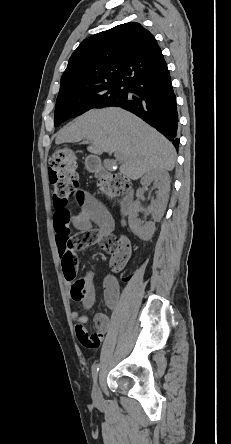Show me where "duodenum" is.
<instances>
[{"label":"duodenum","instance_id":"obj_1","mask_svg":"<svg viewBox=\"0 0 231 444\" xmlns=\"http://www.w3.org/2000/svg\"><path fill=\"white\" fill-rule=\"evenodd\" d=\"M99 175L102 177H106L108 176V173L102 169L99 171ZM132 203H133V194L131 191H128L121 201V207L124 213L129 212Z\"/></svg>","mask_w":231,"mask_h":444}]
</instances>
